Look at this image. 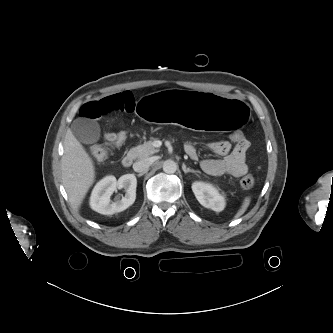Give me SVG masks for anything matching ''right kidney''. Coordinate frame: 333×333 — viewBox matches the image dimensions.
Masks as SVG:
<instances>
[{
    "label": "right kidney",
    "instance_id": "obj_1",
    "mask_svg": "<svg viewBox=\"0 0 333 333\" xmlns=\"http://www.w3.org/2000/svg\"><path fill=\"white\" fill-rule=\"evenodd\" d=\"M137 179L133 174L121 176L118 180L114 176H106L94 187L91 197V208L103 215H112L131 206L136 199ZM117 188H124L126 194L121 200L112 202L111 195Z\"/></svg>",
    "mask_w": 333,
    "mask_h": 333
}]
</instances>
